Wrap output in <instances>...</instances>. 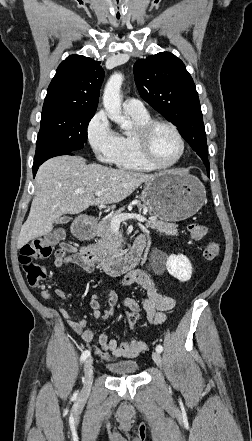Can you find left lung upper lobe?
<instances>
[{
	"instance_id": "obj_1",
	"label": "left lung upper lobe",
	"mask_w": 252,
	"mask_h": 441,
	"mask_svg": "<svg viewBox=\"0 0 252 441\" xmlns=\"http://www.w3.org/2000/svg\"><path fill=\"white\" fill-rule=\"evenodd\" d=\"M140 96L180 130L209 167L206 133L195 84L183 62L170 52L139 59L133 67Z\"/></svg>"
}]
</instances>
